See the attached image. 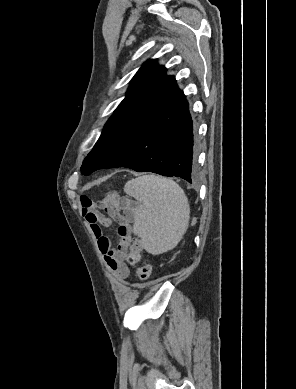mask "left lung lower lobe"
<instances>
[{"mask_svg": "<svg viewBox=\"0 0 296 389\" xmlns=\"http://www.w3.org/2000/svg\"><path fill=\"white\" fill-rule=\"evenodd\" d=\"M196 123L174 77L109 126L94 146L99 169L126 167L192 183Z\"/></svg>", "mask_w": 296, "mask_h": 389, "instance_id": "1", "label": "left lung lower lobe"}]
</instances>
